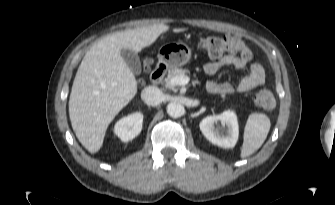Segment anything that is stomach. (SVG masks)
<instances>
[{"mask_svg": "<svg viewBox=\"0 0 335 205\" xmlns=\"http://www.w3.org/2000/svg\"><path fill=\"white\" fill-rule=\"evenodd\" d=\"M190 48L183 43H167L160 47L158 60L167 67H180L189 62Z\"/></svg>", "mask_w": 335, "mask_h": 205, "instance_id": "obj_1", "label": "stomach"}]
</instances>
